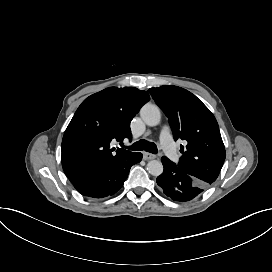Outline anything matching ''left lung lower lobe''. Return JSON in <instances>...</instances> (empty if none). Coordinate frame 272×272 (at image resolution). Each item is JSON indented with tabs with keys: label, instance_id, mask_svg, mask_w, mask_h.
Segmentation results:
<instances>
[{
	"label": "left lung lower lobe",
	"instance_id": "1",
	"mask_svg": "<svg viewBox=\"0 0 272 272\" xmlns=\"http://www.w3.org/2000/svg\"><path fill=\"white\" fill-rule=\"evenodd\" d=\"M163 173L157 177V184L164 194L177 202H186L201 194L209 185L183 172L175 163L163 156Z\"/></svg>",
	"mask_w": 272,
	"mask_h": 272
}]
</instances>
